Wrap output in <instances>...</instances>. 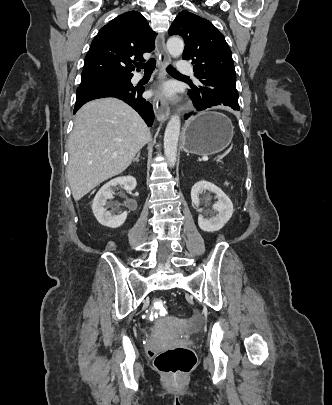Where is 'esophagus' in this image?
<instances>
[{"label": "esophagus", "mask_w": 332, "mask_h": 405, "mask_svg": "<svg viewBox=\"0 0 332 405\" xmlns=\"http://www.w3.org/2000/svg\"><path fill=\"white\" fill-rule=\"evenodd\" d=\"M156 50L158 54L159 67L161 70V78L163 79L165 76L164 69L171 61L165 46V37L163 35H159L157 37ZM153 106L158 121H166L169 118L170 107L167 99L163 95L158 93L157 96H155Z\"/></svg>", "instance_id": "obj_1"}]
</instances>
